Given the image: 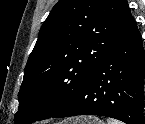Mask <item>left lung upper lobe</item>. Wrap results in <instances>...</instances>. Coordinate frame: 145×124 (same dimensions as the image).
I'll return each mask as SVG.
<instances>
[{
    "mask_svg": "<svg viewBox=\"0 0 145 124\" xmlns=\"http://www.w3.org/2000/svg\"><path fill=\"white\" fill-rule=\"evenodd\" d=\"M131 19L126 0H59L27 61L15 124L50 118L67 105Z\"/></svg>",
    "mask_w": 145,
    "mask_h": 124,
    "instance_id": "obj_1",
    "label": "left lung upper lobe"
}]
</instances>
